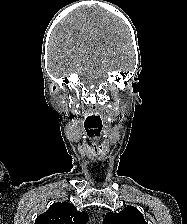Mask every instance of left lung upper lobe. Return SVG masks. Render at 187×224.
I'll return each instance as SVG.
<instances>
[{
	"instance_id": "left-lung-upper-lobe-1",
	"label": "left lung upper lobe",
	"mask_w": 187,
	"mask_h": 224,
	"mask_svg": "<svg viewBox=\"0 0 187 224\" xmlns=\"http://www.w3.org/2000/svg\"><path fill=\"white\" fill-rule=\"evenodd\" d=\"M104 224H148L141 212L133 207L127 206L119 213L109 212L105 215Z\"/></svg>"
}]
</instances>
